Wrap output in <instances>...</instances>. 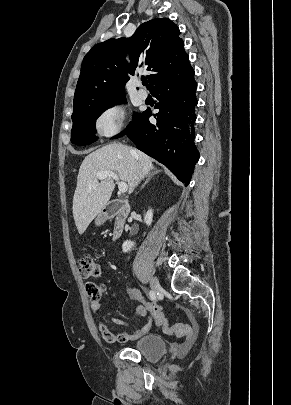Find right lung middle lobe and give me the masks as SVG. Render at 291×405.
I'll return each mask as SVG.
<instances>
[{"label": "right lung middle lobe", "mask_w": 291, "mask_h": 405, "mask_svg": "<svg viewBox=\"0 0 291 405\" xmlns=\"http://www.w3.org/2000/svg\"><path fill=\"white\" fill-rule=\"evenodd\" d=\"M126 97H119L112 101L100 103L96 105H92L81 109L72 114V121L73 127L71 130V142L73 144L84 146L87 144H91L92 142L96 141V128L95 122L96 119L100 116L102 112H104L107 108H110L116 104L124 103ZM141 115L135 113L133 116L132 122L128 125V127L119 135L115 136L114 138L121 137L130 131L133 126L138 121Z\"/></svg>", "instance_id": "obj_1"}]
</instances>
